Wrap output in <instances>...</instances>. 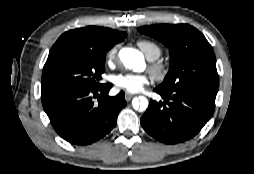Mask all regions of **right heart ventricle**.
<instances>
[{"mask_svg": "<svg viewBox=\"0 0 254 174\" xmlns=\"http://www.w3.org/2000/svg\"><path fill=\"white\" fill-rule=\"evenodd\" d=\"M137 45L150 61L158 59L162 54L161 46L155 41L149 39H140L137 41Z\"/></svg>", "mask_w": 254, "mask_h": 174, "instance_id": "obj_1", "label": "right heart ventricle"}]
</instances>
